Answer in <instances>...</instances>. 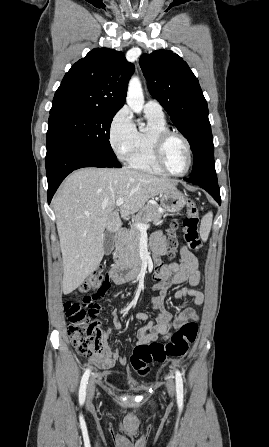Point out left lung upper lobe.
Masks as SVG:
<instances>
[{
    "instance_id": "5c2ea615",
    "label": "left lung upper lobe",
    "mask_w": 269,
    "mask_h": 447,
    "mask_svg": "<svg viewBox=\"0 0 269 447\" xmlns=\"http://www.w3.org/2000/svg\"><path fill=\"white\" fill-rule=\"evenodd\" d=\"M139 64L150 94L190 143L194 166L189 182H217L208 107L198 79L187 63L169 50L143 54Z\"/></svg>"
}]
</instances>
